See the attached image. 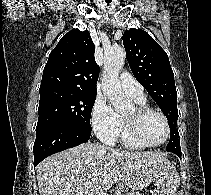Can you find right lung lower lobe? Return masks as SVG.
Returning <instances> with one entry per match:
<instances>
[{"mask_svg": "<svg viewBox=\"0 0 211 195\" xmlns=\"http://www.w3.org/2000/svg\"><path fill=\"white\" fill-rule=\"evenodd\" d=\"M90 136L88 129L68 126H54L36 133L34 167L54 153L87 142Z\"/></svg>", "mask_w": 211, "mask_h": 195, "instance_id": "1", "label": "right lung lower lobe"}]
</instances>
